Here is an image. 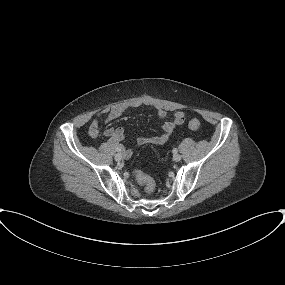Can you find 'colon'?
<instances>
[{
  "label": "colon",
  "mask_w": 285,
  "mask_h": 285,
  "mask_svg": "<svg viewBox=\"0 0 285 285\" xmlns=\"http://www.w3.org/2000/svg\"><path fill=\"white\" fill-rule=\"evenodd\" d=\"M188 126L190 129H192L194 131H198L201 127L200 122L197 119L190 120L188 123ZM134 177L139 184L145 186V188L148 192H152L154 190V187H155L154 180L150 176H148L147 174H145L139 170H135L134 171Z\"/></svg>",
  "instance_id": "5ec220e1"
}]
</instances>
